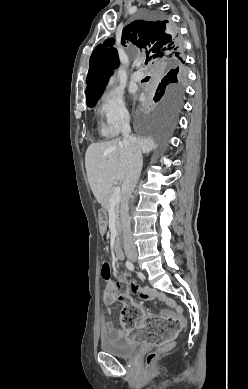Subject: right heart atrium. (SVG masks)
Returning <instances> with one entry per match:
<instances>
[{"instance_id":"obj_1","label":"right heart atrium","mask_w":248,"mask_h":389,"mask_svg":"<svg viewBox=\"0 0 248 389\" xmlns=\"http://www.w3.org/2000/svg\"><path fill=\"white\" fill-rule=\"evenodd\" d=\"M98 113L102 119V131L106 135L115 136L128 126V110L122 96L116 92L102 96Z\"/></svg>"}]
</instances>
